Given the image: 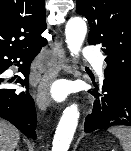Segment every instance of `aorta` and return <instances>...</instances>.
<instances>
[{
  "label": "aorta",
  "instance_id": "aorta-1",
  "mask_svg": "<svg viewBox=\"0 0 131 151\" xmlns=\"http://www.w3.org/2000/svg\"><path fill=\"white\" fill-rule=\"evenodd\" d=\"M87 32L86 23L78 17L71 18L65 29L66 42L72 56H77ZM78 106L67 107L58 123L52 142V151H68L79 118Z\"/></svg>",
  "mask_w": 131,
  "mask_h": 151
}]
</instances>
